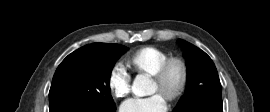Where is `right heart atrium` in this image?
<instances>
[{"label": "right heart atrium", "mask_w": 270, "mask_h": 112, "mask_svg": "<svg viewBox=\"0 0 270 112\" xmlns=\"http://www.w3.org/2000/svg\"><path fill=\"white\" fill-rule=\"evenodd\" d=\"M108 86L116 98L126 97L131 89V75L121 62L115 63L109 71Z\"/></svg>", "instance_id": "d8ad5b80"}]
</instances>
